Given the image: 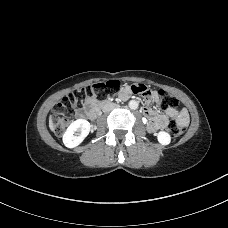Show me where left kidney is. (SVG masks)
<instances>
[{"label": "left kidney", "mask_w": 228, "mask_h": 228, "mask_svg": "<svg viewBox=\"0 0 228 228\" xmlns=\"http://www.w3.org/2000/svg\"><path fill=\"white\" fill-rule=\"evenodd\" d=\"M157 139H158L159 143L162 145H168L171 141V137H170L169 133H167L165 131H160L157 135Z\"/></svg>", "instance_id": "left-kidney-1"}]
</instances>
